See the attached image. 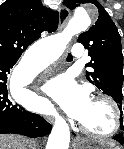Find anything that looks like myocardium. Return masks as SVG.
Listing matches in <instances>:
<instances>
[{
  "mask_svg": "<svg viewBox=\"0 0 124 149\" xmlns=\"http://www.w3.org/2000/svg\"><path fill=\"white\" fill-rule=\"evenodd\" d=\"M94 101H102L107 103L113 113V119H114V124L113 127L110 131L106 133H96L89 128H87L85 125H83L80 121L78 122V127L79 129L85 133L86 135L96 138V139H108L113 136H115L118 131L120 130L121 124H122V112L118 106V104L109 96L106 95H98L93 98Z\"/></svg>",
  "mask_w": 124,
  "mask_h": 149,
  "instance_id": "myocardium-1",
  "label": "myocardium"
}]
</instances>
